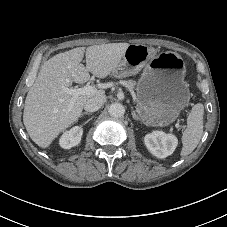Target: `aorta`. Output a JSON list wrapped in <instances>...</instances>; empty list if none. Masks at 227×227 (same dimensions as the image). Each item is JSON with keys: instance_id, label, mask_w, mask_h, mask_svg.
I'll list each match as a JSON object with an SVG mask.
<instances>
[{"instance_id": "aorta-1", "label": "aorta", "mask_w": 227, "mask_h": 227, "mask_svg": "<svg viewBox=\"0 0 227 227\" xmlns=\"http://www.w3.org/2000/svg\"><path fill=\"white\" fill-rule=\"evenodd\" d=\"M108 112L112 117H121L125 113V108L121 103L115 102L109 106Z\"/></svg>"}]
</instances>
